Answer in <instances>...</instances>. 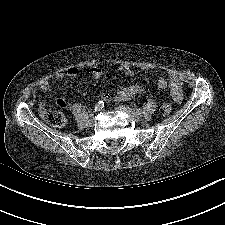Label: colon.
I'll list each match as a JSON object with an SVG mask.
<instances>
[{
	"instance_id": "1",
	"label": "colon",
	"mask_w": 225,
	"mask_h": 225,
	"mask_svg": "<svg viewBox=\"0 0 225 225\" xmlns=\"http://www.w3.org/2000/svg\"><path fill=\"white\" fill-rule=\"evenodd\" d=\"M63 105V104H62ZM63 107V106H61ZM172 110V104L170 102H166L162 106V112L165 115L170 114ZM42 115L44 120L50 124L51 126L61 128L66 124V117L62 111L59 109H44L42 111Z\"/></svg>"
}]
</instances>
